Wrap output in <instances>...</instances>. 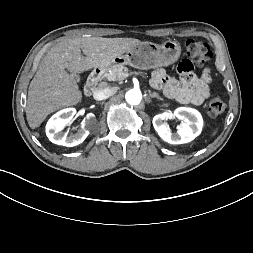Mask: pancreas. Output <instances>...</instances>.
Returning a JSON list of instances; mask_svg holds the SVG:
<instances>
[{
    "label": "pancreas",
    "instance_id": "pancreas-1",
    "mask_svg": "<svg viewBox=\"0 0 253 253\" xmlns=\"http://www.w3.org/2000/svg\"><path fill=\"white\" fill-rule=\"evenodd\" d=\"M109 72L105 74V77L109 81H122L128 72V68L124 66L114 65L109 68Z\"/></svg>",
    "mask_w": 253,
    "mask_h": 253
}]
</instances>
